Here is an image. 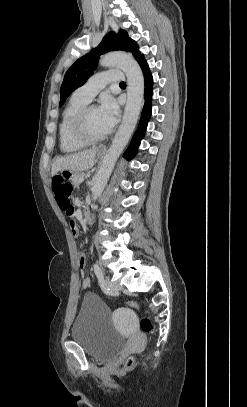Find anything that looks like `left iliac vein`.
<instances>
[{
    "mask_svg": "<svg viewBox=\"0 0 247 407\" xmlns=\"http://www.w3.org/2000/svg\"><path fill=\"white\" fill-rule=\"evenodd\" d=\"M105 285L113 293H118L122 289L119 283L113 282L111 280H105Z\"/></svg>",
    "mask_w": 247,
    "mask_h": 407,
    "instance_id": "obj_1",
    "label": "left iliac vein"
}]
</instances>
